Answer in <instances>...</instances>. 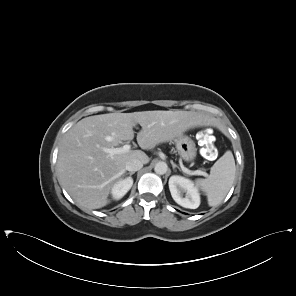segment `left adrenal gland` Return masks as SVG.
I'll use <instances>...</instances> for the list:
<instances>
[{
	"mask_svg": "<svg viewBox=\"0 0 296 296\" xmlns=\"http://www.w3.org/2000/svg\"><path fill=\"white\" fill-rule=\"evenodd\" d=\"M171 164H172L173 169L178 168L181 171L180 167L177 166L175 163L171 162Z\"/></svg>",
	"mask_w": 296,
	"mask_h": 296,
	"instance_id": "1",
	"label": "left adrenal gland"
}]
</instances>
